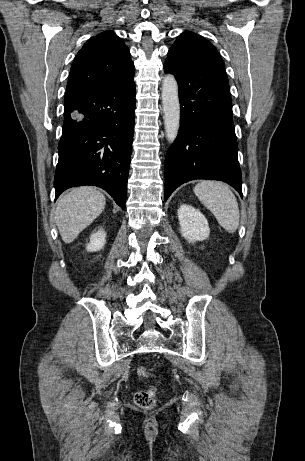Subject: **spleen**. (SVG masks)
Wrapping results in <instances>:
<instances>
[{"instance_id":"spleen-1","label":"spleen","mask_w":305,"mask_h":461,"mask_svg":"<svg viewBox=\"0 0 305 461\" xmlns=\"http://www.w3.org/2000/svg\"><path fill=\"white\" fill-rule=\"evenodd\" d=\"M193 190L227 232L237 230L240 220L238 202L228 186L217 181H202Z\"/></svg>"}]
</instances>
